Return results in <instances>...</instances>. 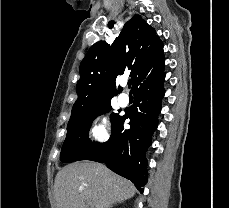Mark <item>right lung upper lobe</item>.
I'll use <instances>...</instances> for the list:
<instances>
[{
	"mask_svg": "<svg viewBox=\"0 0 229 208\" xmlns=\"http://www.w3.org/2000/svg\"><path fill=\"white\" fill-rule=\"evenodd\" d=\"M165 64L162 41L153 27L135 15L110 46L100 41L91 46L80 64V80L71 118L88 114L97 105L111 100L116 77L124 72L132 78V90L156 74ZM70 118V119H71Z\"/></svg>",
	"mask_w": 229,
	"mask_h": 208,
	"instance_id": "cb5924a9",
	"label": "right lung upper lobe"
}]
</instances>
